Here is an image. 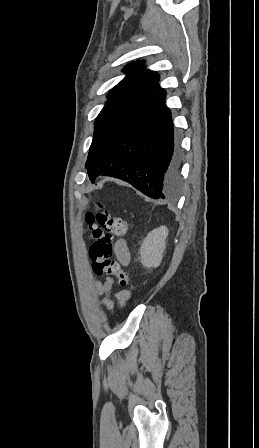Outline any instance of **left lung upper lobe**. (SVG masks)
Returning a JSON list of instances; mask_svg holds the SVG:
<instances>
[{"instance_id": "5c2ea615", "label": "left lung upper lobe", "mask_w": 259, "mask_h": 448, "mask_svg": "<svg viewBox=\"0 0 259 448\" xmlns=\"http://www.w3.org/2000/svg\"><path fill=\"white\" fill-rule=\"evenodd\" d=\"M127 73L108 94V100L94 123V136L85 167L113 136L126 124L131 113L143 109L160 89V75L146 69L143 61L129 63L123 70Z\"/></svg>"}]
</instances>
